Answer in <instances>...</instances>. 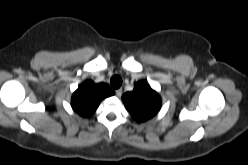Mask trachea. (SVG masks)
Returning a JSON list of instances; mask_svg holds the SVG:
<instances>
[{
	"instance_id": "obj_1",
	"label": "trachea",
	"mask_w": 248,
	"mask_h": 165,
	"mask_svg": "<svg viewBox=\"0 0 248 165\" xmlns=\"http://www.w3.org/2000/svg\"><path fill=\"white\" fill-rule=\"evenodd\" d=\"M110 83L113 88L118 89L122 85V78L115 75L111 78Z\"/></svg>"
}]
</instances>
